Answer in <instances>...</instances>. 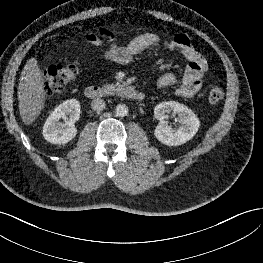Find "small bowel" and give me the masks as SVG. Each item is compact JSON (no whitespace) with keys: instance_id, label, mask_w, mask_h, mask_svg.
<instances>
[{"instance_id":"1","label":"small bowel","mask_w":263,"mask_h":263,"mask_svg":"<svg viewBox=\"0 0 263 263\" xmlns=\"http://www.w3.org/2000/svg\"><path fill=\"white\" fill-rule=\"evenodd\" d=\"M102 38L108 43L102 53L103 58L123 65L130 64L138 54L153 46L166 51H180L188 60L180 84L174 91V94L180 97L190 98L196 95L201 88V80L208 71L206 59L195 49L190 38L185 34H178L167 40L156 33L146 32L137 35L126 45H119L114 33L107 28H100L97 33L88 32L85 35V40L97 48L103 46ZM177 81L178 77L175 73L167 72L158 78L157 86L165 88Z\"/></svg>"}]
</instances>
